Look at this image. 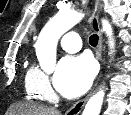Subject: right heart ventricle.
<instances>
[{"instance_id": "1", "label": "right heart ventricle", "mask_w": 131, "mask_h": 115, "mask_svg": "<svg viewBox=\"0 0 131 115\" xmlns=\"http://www.w3.org/2000/svg\"><path fill=\"white\" fill-rule=\"evenodd\" d=\"M34 70H35L34 67H29L27 69L24 79V87L28 98L33 100H38L41 98V96L32 88L31 81H30V77L33 74Z\"/></svg>"}]
</instances>
